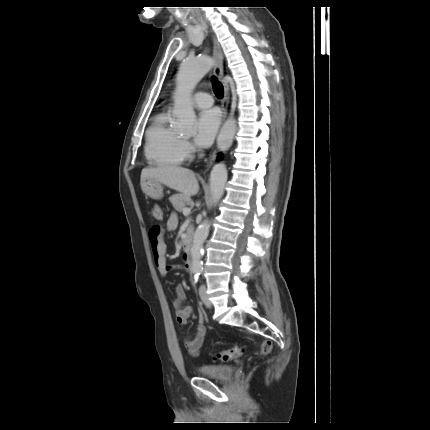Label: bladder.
<instances>
[{
    "instance_id": "obj_1",
    "label": "bladder",
    "mask_w": 430,
    "mask_h": 430,
    "mask_svg": "<svg viewBox=\"0 0 430 430\" xmlns=\"http://www.w3.org/2000/svg\"><path fill=\"white\" fill-rule=\"evenodd\" d=\"M234 367L230 365H213L206 364L198 367L197 373L200 376L217 380V381H227L232 378L234 374Z\"/></svg>"
}]
</instances>
